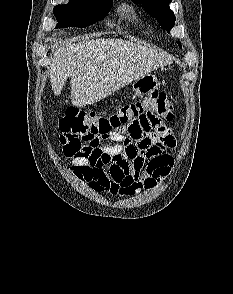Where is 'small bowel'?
Listing matches in <instances>:
<instances>
[{
    "mask_svg": "<svg viewBox=\"0 0 233 294\" xmlns=\"http://www.w3.org/2000/svg\"><path fill=\"white\" fill-rule=\"evenodd\" d=\"M135 120H123L125 138L116 134L119 144L102 150V156L77 157L70 164L72 175L95 192L129 196L151 189L172 167L176 140L159 110H134Z\"/></svg>",
    "mask_w": 233,
    "mask_h": 294,
    "instance_id": "1",
    "label": "small bowel"
}]
</instances>
